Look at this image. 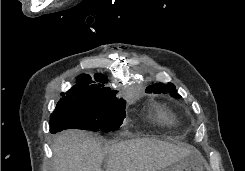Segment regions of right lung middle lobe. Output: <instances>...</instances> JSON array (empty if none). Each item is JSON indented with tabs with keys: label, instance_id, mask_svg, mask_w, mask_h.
Segmentation results:
<instances>
[{
	"label": "right lung middle lobe",
	"instance_id": "dd1d6c3e",
	"mask_svg": "<svg viewBox=\"0 0 245 171\" xmlns=\"http://www.w3.org/2000/svg\"><path fill=\"white\" fill-rule=\"evenodd\" d=\"M125 116L123 99L60 101L50 116V132L75 128L108 133L118 129Z\"/></svg>",
	"mask_w": 245,
	"mask_h": 171
}]
</instances>
